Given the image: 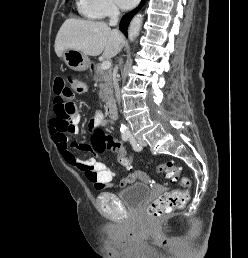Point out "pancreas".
Segmentation results:
<instances>
[{
	"label": "pancreas",
	"mask_w": 248,
	"mask_h": 258,
	"mask_svg": "<svg viewBox=\"0 0 248 258\" xmlns=\"http://www.w3.org/2000/svg\"><path fill=\"white\" fill-rule=\"evenodd\" d=\"M95 80L101 84L99 97L101 100H105L106 96L111 93L112 86V72L111 70H103L100 64H96L94 68Z\"/></svg>",
	"instance_id": "1"
}]
</instances>
